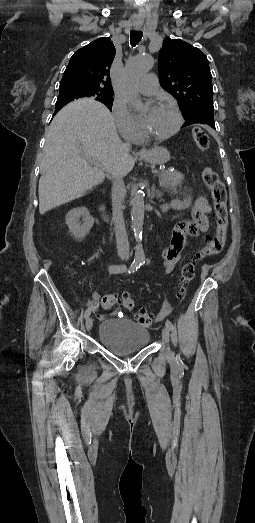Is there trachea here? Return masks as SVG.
Listing matches in <instances>:
<instances>
[{
	"instance_id": "1",
	"label": "trachea",
	"mask_w": 255,
	"mask_h": 523,
	"mask_svg": "<svg viewBox=\"0 0 255 523\" xmlns=\"http://www.w3.org/2000/svg\"><path fill=\"white\" fill-rule=\"evenodd\" d=\"M143 33L140 30H131L130 32V43L132 47L138 45L141 41Z\"/></svg>"
}]
</instances>
